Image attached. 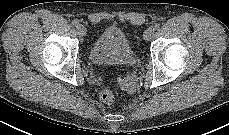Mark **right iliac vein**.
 <instances>
[{
  "instance_id": "right-iliac-vein-1",
  "label": "right iliac vein",
  "mask_w": 229,
  "mask_h": 135,
  "mask_svg": "<svg viewBox=\"0 0 229 135\" xmlns=\"http://www.w3.org/2000/svg\"><path fill=\"white\" fill-rule=\"evenodd\" d=\"M77 31H78V34L80 35V36H85L86 35V33H87V30H86V28L83 26V25H79L78 27H77Z\"/></svg>"
}]
</instances>
